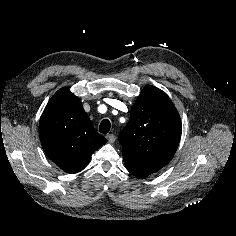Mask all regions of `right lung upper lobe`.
<instances>
[{
    "label": "right lung upper lobe",
    "mask_w": 236,
    "mask_h": 236,
    "mask_svg": "<svg viewBox=\"0 0 236 236\" xmlns=\"http://www.w3.org/2000/svg\"><path fill=\"white\" fill-rule=\"evenodd\" d=\"M39 136L48 157L70 174L84 169L92 153L107 142L66 87L47 103L39 121Z\"/></svg>",
    "instance_id": "obj_1"
}]
</instances>
